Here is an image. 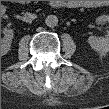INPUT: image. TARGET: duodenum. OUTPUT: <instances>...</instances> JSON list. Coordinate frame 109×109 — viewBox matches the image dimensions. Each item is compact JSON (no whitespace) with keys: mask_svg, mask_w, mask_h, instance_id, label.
<instances>
[{"mask_svg":"<svg viewBox=\"0 0 109 109\" xmlns=\"http://www.w3.org/2000/svg\"><path fill=\"white\" fill-rule=\"evenodd\" d=\"M54 6H55V7H63V6H67V4H66V3H61V2H56V3L54 4ZM74 6H76V5H74V4H71V5H70V7H74Z\"/></svg>","mask_w":109,"mask_h":109,"instance_id":"1","label":"duodenum"}]
</instances>
